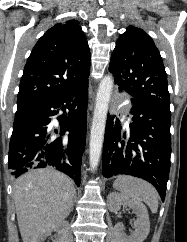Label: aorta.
I'll return each mask as SVG.
<instances>
[{"instance_id":"762f6f07","label":"aorta","mask_w":187,"mask_h":242,"mask_svg":"<svg viewBox=\"0 0 187 242\" xmlns=\"http://www.w3.org/2000/svg\"><path fill=\"white\" fill-rule=\"evenodd\" d=\"M113 86L114 80L110 75L105 76L99 84L89 143V161L91 171H94L97 168L98 163L100 161L104 141L109 100L111 97Z\"/></svg>"}]
</instances>
